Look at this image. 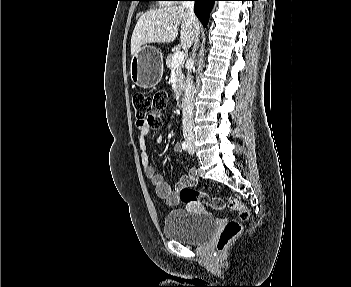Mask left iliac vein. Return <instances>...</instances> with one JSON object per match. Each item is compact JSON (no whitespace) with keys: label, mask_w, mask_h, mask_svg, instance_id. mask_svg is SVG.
Instances as JSON below:
<instances>
[{"label":"left iliac vein","mask_w":351,"mask_h":287,"mask_svg":"<svg viewBox=\"0 0 351 287\" xmlns=\"http://www.w3.org/2000/svg\"><path fill=\"white\" fill-rule=\"evenodd\" d=\"M188 152H189L190 155H193V154H194V148H193L192 145H189V147H188Z\"/></svg>","instance_id":"4c4485c4"}]
</instances>
